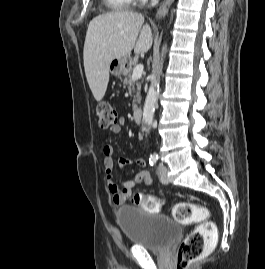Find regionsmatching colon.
<instances>
[{
  "label": "colon",
  "instance_id": "1",
  "mask_svg": "<svg viewBox=\"0 0 265 269\" xmlns=\"http://www.w3.org/2000/svg\"><path fill=\"white\" fill-rule=\"evenodd\" d=\"M96 112L101 128H111L118 123L117 112L109 103H99ZM132 202L151 213L160 211L162 207V203L157 197L141 193L135 194ZM172 214L179 223H199L182 241L178 249L177 269H188L190 264L200 259L206 248L215 242L217 228L212 221L208 220L209 211L194 203L179 202L174 205Z\"/></svg>",
  "mask_w": 265,
  "mask_h": 269
}]
</instances>
